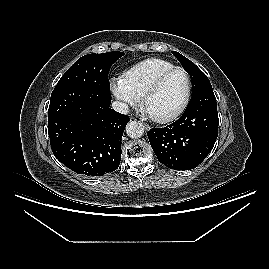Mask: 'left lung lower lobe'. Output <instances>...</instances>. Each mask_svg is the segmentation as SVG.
<instances>
[{"instance_id":"0a47b994","label":"left lung lower lobe","mask_w":269,"mask_h":269,"mask_svg":"<svg viewBox=\"0 0 269 269\" xmlns=\"http://www.w3.org/2000/svg\"><path fill=\"white\" fill-rule=\"evenodd\" d=\"M218 113L212 86L194 94L183 115L147 135L160 163L174 170L196 168L211 152L218 136Z\"/></svg>"}]
</instances>
